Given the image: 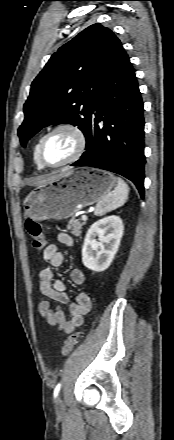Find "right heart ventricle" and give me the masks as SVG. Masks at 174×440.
<instances>
[{"mask_svg":"<svg viewBox=\"0 0 174 440\" xmlns=\"http://www.w3.org/2000/svg\"><path fill=\"white\" fill-rule=\"evenodd\" d=\"M39 140L35 143L34 148H33V160H34V163H35L37 169L41 170L44 167L39 163L38 157H37V149H38Z\"/></svg>","mask_w":174,"mask_h":440,"instance_id":"e07e8e85","label":"right heart ventricle"}]
</instances>
